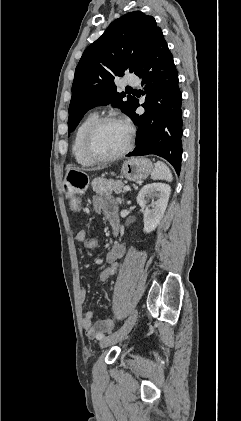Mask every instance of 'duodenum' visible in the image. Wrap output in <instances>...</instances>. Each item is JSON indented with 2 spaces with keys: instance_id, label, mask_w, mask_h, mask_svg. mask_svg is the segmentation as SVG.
Segmentation results:
<instances>
[{
  "instance_id": "obj_1",
  "label": "duodenum",
  "mask_w": 241,
  "mask_h": 421,
  "mask_svg": "<svg viewBox=\"0 0 241 421\" xmlns=\"http://www.w3.org/2000/svg\"><path fill=\"white\" fill-rule=\"evenodd\" d=\"M109 221H110V223H111V225H112V227L114 229H118L119 221H118V217L117 216L111 217Z\"/></svg>"
}]
</instances>
